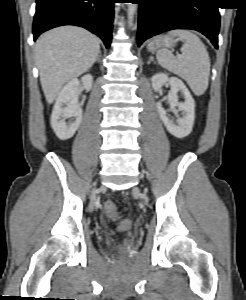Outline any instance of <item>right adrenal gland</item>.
I'll use <instances>...</instances> for the list:
<instances>
[{"mask_svg":"<svg viewBox=\"0 0 246 300\" xmlns=\"http://www.w3.org/2000/svg\"><path fill=\"white\" fill-rule=\"evenodd\" d=\"M100 57H101V52H99L98 57L96 59V61H100Z\"/></svg>","mask_w":246,"mask_h":300,"instance_id":"2a0ac1e0","label":"right adrenal gland"}]
</instances>
